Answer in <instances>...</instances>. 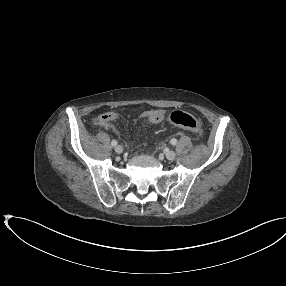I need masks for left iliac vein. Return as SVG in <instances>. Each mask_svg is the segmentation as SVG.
<instances>
[{
	"label": "left iliac vein",
	"mask_w": 286,
	"mask_h": 286,
	"mask_svg": "<svg viewBox=\"0 0 286 286\" xmlns=\"http://www.w3.org/2000/svg\"><path fill=\"white\" fill-rule=\"evenodd\" d=\"M165 157L168 160H174L176 157V153L174 151L170 150L165 154Z\"/></svg>",
	"instance_id": "4c4485c4"
}]
</instances>
